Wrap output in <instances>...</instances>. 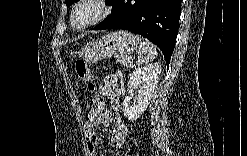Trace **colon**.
<instances>
[{
    "label": "colon",
    "mask_w": 247,
    "mask_h": 156,
    "mask_svg": "<svg viewBox=\"0 0 247 156\" xmlns=\"http://www.w3.org/2000/svg\"><path fill=\"white\" fill-rule=\"evenodd\" d=\"M75 70L78 78L85 84L88 92L92 95L93 107H91V112H100L103 103H106V98H99L97 94L96 83L94 81L90 65L83 61L78 60L75 64ZM93 118L97 117L96 113L92 114Z\"/></svg>",
    "instance_id": "1"
}]
</instances>
